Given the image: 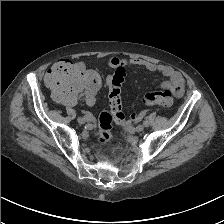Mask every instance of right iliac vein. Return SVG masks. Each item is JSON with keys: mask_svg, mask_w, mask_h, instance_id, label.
<instances>
[{"mask_svg": "<svg viewBox=\"0 0 224 224\" xmlns=\"http://www.w3.org/2000/svg\"><path fill=\"white\" fill-rule=\"evenodd\" d=\"M78 123L80 124H84L86 122L85 118L84 117H78L77 119Z\"/></svg>", "mask_w": 224, "mask_h": 224, "instance_id": "right-iliac-vein-1", "label": "right iliac vein"}]
</instances>
